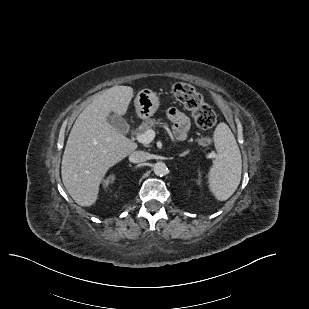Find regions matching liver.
<instances>
[{"label":"liver","mask_w":309,"mask_h":309,"mask_svg":"<svg viewBox=\"0 0 309 309\" xmlns=\"http://www.w3.org/2000/svg\"><path fill=\"white\" fill-rule=\"evenodd\" d=\"M132 97L129 86L105 90L80 113L71 129L61 175L66 190L80 206L95 204L107 171L137 148L107 121L111 112L126 114Z\"/></svg>","instance_id":"liver-1"}]
</instances>
